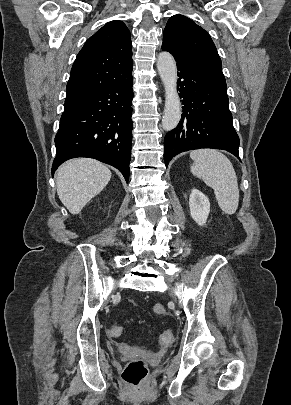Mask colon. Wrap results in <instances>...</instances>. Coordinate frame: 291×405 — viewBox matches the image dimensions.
I'll list each match as a JSON object with an SVG mask.
<instances>
[{
    "label": "colon",
    "instance_id": "obj_1",
    "mask_svg": "<svg viewBox=\"0 0 291 405\" xmlns=\"http://www.w3.org/2000/svg\"><path fill=\"white\" fill-rule=\"evenodd\" d=\"M154 312L158 315H164L166 313L165 308L161 304L154 306ZM109 335L111 337H119L123 332V327L114 323L109 328ZM174 340V334L171 330L164 331L159 337V344L161 346L170 345ZM148 375V368L146 362L142 359H133L127 363L122 371V379L132 385H140Z\"/></svg>",
    "mask_w": 291,
    "mask_h": 405
}]
</instances>
